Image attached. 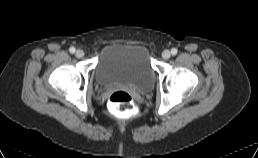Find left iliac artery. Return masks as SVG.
<instances>
[{"label":"left iliac artery","instance_id":"obj_1","mask_svg":"<svg viewBox=\"0 0 258 158\" xmlns=\"http://www.w3.org/2000/svg\"><path fill=\"white\" fill-rule=\"evenodd\" d=\"M177 52H178V50H177L176 48H172V49H171V54H172V55H176Z\"/></svg>","mask_w":258,"mask_h":158}]
</instances>
